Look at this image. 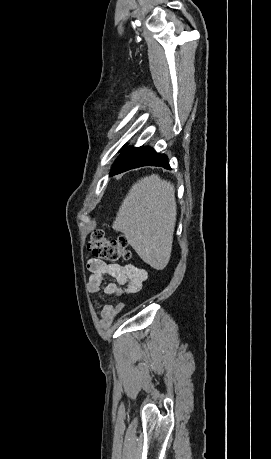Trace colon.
Masks as SVG:
<instances>
[{
    "label": "colon",
    "mask_w": 271,
    "mask_h": 459,
    "mask_svg": "<svg viewBox=\"0 0 271 459\" xmlns=\"http://www.w3.org/2000/svg\"><path fill=\"white\" fill-rule=\"evenodd\" d=\"M88 249L97 259L102 261L114 262L120 259L127 260L131 257L124 237L110 239L99 230L91 234Z\"/></svg>",
    "instance_id": "colon-1"
}]
</instances>
